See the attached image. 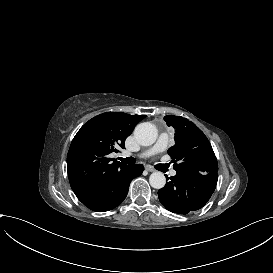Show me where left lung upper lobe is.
I'll return each mask as SVG.
<instances>
[{
  "label": "left lung upper lobe",
  "instance_id": "5c2ea615",
  "mask_svg": "<svg viewBox=\"0 0 273 273\" xmlns=\"http://www.w3.org/2000/svg\"><path fill=\"white\" fill-rule=\"evenodd\" d=\"M164 120L176 130L175 145L168 150L175 163L174 169L179 172L217 173V159L205 134L186 118L168 115Z\"/></svg>",
  "mask_w": 273,
  "mask_h": 273
}]
</instances>
